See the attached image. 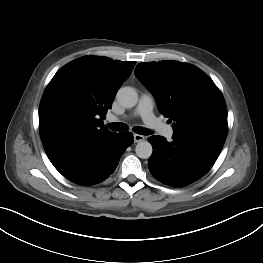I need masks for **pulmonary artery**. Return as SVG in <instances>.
<instances>
[{"label":"pulmonary artery","instance_id":"pulmonary-artery-1","mask_svg":"<svg viewBox=\"0 0 263 263\" xmlns=\"http://www.w3.org/2000/svg\"><path fill=\"white\" fill-rule=\"evenodd\" d=\"M135 115L140 116L144 123L152 128L157 130L163 136L170 138L174 133V129L171 126H168L162 123L153 113V99L148 94H143L140 97L139 103L135 109ZM117 118L110 116V121H115Z\"/></svg>","mask_w":263,"mask_h":263}]
</instances>
